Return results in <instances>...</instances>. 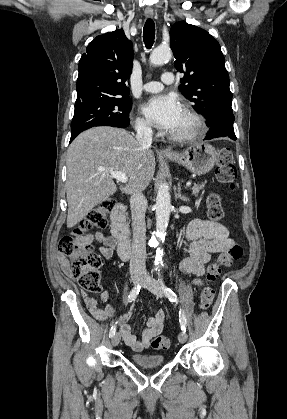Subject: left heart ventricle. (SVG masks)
<instances>
[{
	"label": "left heart ventricle",
	"mask_w": 287,
	"mask_h": 419,
	"mask_svg": "<svg viewBox=\"0 0 287 419\" xmlns=\"http://www.w3.org/2000/svg\"><path fill=\"white\" fill-rule=\"evenodd\" d=\"M192 127V122L189 120V118L183 113L178 125L176 128L172 131L173 133H182L186 130L190 129Z\"/></svg>",
	"instance_id": "left-heart-ventricle-1"
}]
</instances>
